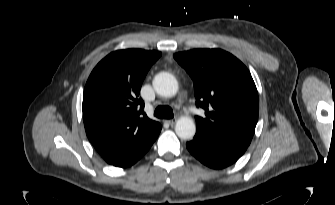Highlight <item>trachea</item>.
Listing matches in <instances>:
<instances>
[{
	"mask_svg": "<svg viewBox=\"0 0 335 205\" xmlns=\"http://www.w3.org/2000/svg\"><path fill=\"white\" fill-rule=\"evenodd\" d=\"M154 116L157 118L171 119L173 118L174 114L172 108L169 106L160 105L155 109Z\"/></svg>",
	"mask_w": 335,
	"mask_h": 205,
	"instance_id": "1",
	"label": "trachea"
}]
</instances>
